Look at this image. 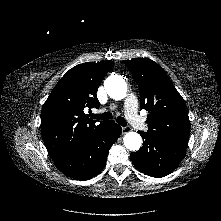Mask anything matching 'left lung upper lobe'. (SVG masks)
Wrapping results in <instances>:
<instances>
[{"instance_id":"1","label":"left lung upper lobe","mask_w":221,"mask_h":221,"mask_svg":"<svg viewBox=\"0 0 221 221\" xmlns=\"http://www.w3.org/2000/svg\"><path fill=\"white\" fill-rule=\"evenodd\" d=\"M123 63L140 88L141 108L149 112L146 133L186 147L190 133L187 107L166 72L149 58H134Z\"/></svg>"}]
</instances>
